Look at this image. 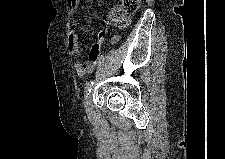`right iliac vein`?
Segmentation results:
<instances>
[{
  "instance_id": "63e3f726",
  "label": "right iliac vein",
  "mask_w": 225,
  "mask_h": 159,
  "mask_svg": "<svg viewBox=\"0 0 225 159\" xmlns=\"http://www.w3.org/2000/svg\"><path fill=\"white\" fill-rule=\"evenodd\" d=\"M89 106H90V101H89V97L87 96L85 99V107H86L87 111H89Z\"/></svg>"
}]
</instances>
